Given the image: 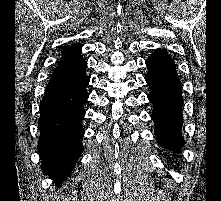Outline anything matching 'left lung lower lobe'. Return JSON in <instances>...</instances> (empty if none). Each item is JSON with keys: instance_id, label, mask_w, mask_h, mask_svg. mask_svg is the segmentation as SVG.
Wrapping results in <instances>:
<instances>
[{"instance_id": "1", "label": "left lung lower lobe", "mask_w": 221, "mask_h": 201, "mask_svg": "<svg viewBox=\"0 0 221 201\" xmlns=\"http://www.w3.org/2000/svg\"><path fill=\"white\" fill-rule=\"evenodd\" d=\"M145 63L148 68L145 80L150 87L148 99L154 108L151 118L156 138L163 148L178 152L185 141L181 134L182 91L174 61L153 53Z\"/></svg>"}]
</instances>
